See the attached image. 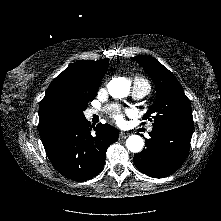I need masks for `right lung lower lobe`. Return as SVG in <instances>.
I'll return each instance as SVG.
<instances>
[{
    "label": "right lung lower lobe",
    "instance_id": "right-lung-lower-lobe-1",
    "mask_svg": "<svg viewBox=\"0 0 221 221\" xmlns=\"http://www.w3.org/2000/svg\"><path fill=\"white\" fill-rule=\"evenodd\" d=\"M93 129L94 132L84 117L42 139L51 163L62 175L82 182L103 168L107 148L117 141L119 132L111 125L101 123Z\"/></svg>",
    "mask_w": 221,
    "mask_h": 221
}]
</instances>
